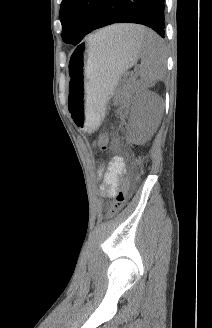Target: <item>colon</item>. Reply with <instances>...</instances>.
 Returning <instances> with one entry per match:
<instances>
[{
    "label": "colon",
    "mask_w": 212,
    "mask_h": 328,
    "mask_svg": "<svg viewBox=\"0 0 212 328\" xmlns=\"http://www.w3.org/2000/svg\"><path fill=\"white\" fill-rule=\"evenodd\" d=\"M109 145V136L106 132H101L97 137L94 146L98 150H105ZM130 188V181L127 180L122 188L116 193L115 201L108 210L107 217L112 218L118 214L125 205Z\"/></svg>",
    "instance_id": "obj_1"
}]
</instances>
